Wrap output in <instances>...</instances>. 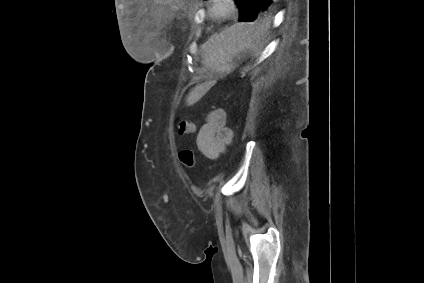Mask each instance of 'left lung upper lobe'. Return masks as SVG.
<instances>
[{
    "label": "left lung upper lobe",
    "mask_w": 424,
    "mask_h": 283,
    "mask_svg": "<svg viewBox=\"0 0 424 283\" xmlns=\"http://www.w3.org/2000/svg\"><path fill=\"white\" fill-rule=\"evenodd\" d=\"M264 0H235L240 10L239 21L251 22L256 18H264L268 13H260L259 9Z\"/></svg>",
    "instance_id": "obj_1"
}]
</instances>
